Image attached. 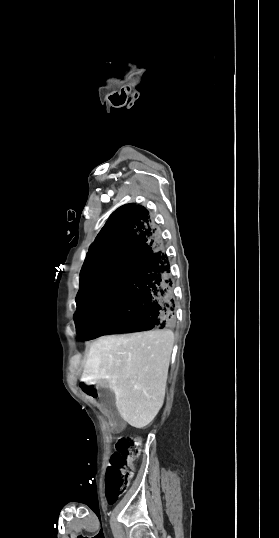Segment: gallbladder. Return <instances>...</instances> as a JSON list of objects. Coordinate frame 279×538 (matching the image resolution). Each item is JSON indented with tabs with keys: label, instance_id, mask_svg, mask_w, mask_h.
I'll use <instances>...</instances> for the list:
<instances>
[{
	"label": "gallbladder",
	"instance_id": "gallbladder-1",
	"mask_svg": "<svg viewBox=\"0 0 279 538\" xmlns=\"http://www.w3.org/2000/svg\"><path fill=\"white\" fill-rule=\"evenodd\" d=\"M99 392L103 400V403H102L103 408L110 411L109 420L111 422H119V424L114 425V430L120 431L121 430L120 424H122V421H120L121 413L119 411H115L116 406L114 404V392L110 390V388H105V386H101V384H99Z\"/></svg>",
	"mask_w": 279,
	"mask_h": 538
}]
</instances>
